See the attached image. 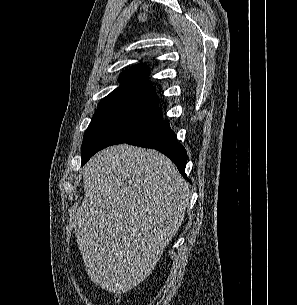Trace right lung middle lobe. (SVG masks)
<instances>
[{"instance_id": "1", "label": "right lung middle lobe", "mask_w": 297, "mask_h": 305, "mask_svg": "<svg viewBox=\"0 0 297 305\" xmlns=\"http://www.w3.org/2000/svg\"><path fill=\"white\" fill-rule=\"evenodd\" d=\"M157 104L127 98L99 104L83 137L82 165L98 150L124 143L161 121L163 115Z\"/></svg>"}]
</instances>
